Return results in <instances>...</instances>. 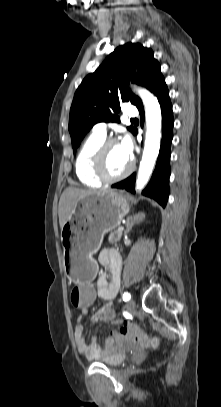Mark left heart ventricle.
<instances>
[{"instance_id":"1","label":"left heart ventricle","mask_w":221,"mask_h":407,"mask_svg":"<svg viewBox=\"0 0 221 407\" xmlns=\"http://www.w3.org/2000/svg\"><path fill=\"white\" fill-rule=\"evenodd\" d=\"M130 164V158L123 152L120 143L111 145L105 155L104 166L107 174H121Z\"/></svg>"}]
</instances>
